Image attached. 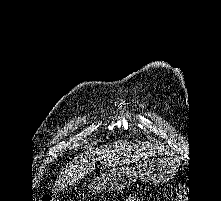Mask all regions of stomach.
<instances>
[{
	"instance_id": "obj_1",
	"label": "stomach",
	"mask_w": 221,
	"mask_h": 201,
	"mask_svg": "<svg viewBox=\"0 0 221 201\" xmlns=\"http://www.w3.org/2000/svg\"><path fill=\"white\" fill-rule=\"evenodd\" d=\"M180 162L168 152H154L141 158L137 170L123 165L97 176L88 185L92 193L121 192L133 184L137 178L153 185L169 181L177 173Z\"/></svg>"
}]
</instances>
